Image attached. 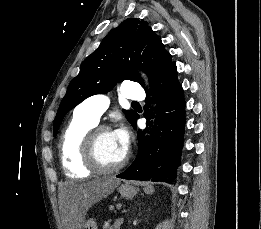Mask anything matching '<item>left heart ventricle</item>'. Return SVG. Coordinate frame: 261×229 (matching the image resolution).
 <instances>
[{
    "label": "left heart ventricle",
    "instance_id": "b2bd125f",
    "mask_svg": "<svg viewBox=\"0 0 261 229\" xmlns=\"http://www.w3.org/2000/svg\"><path fill=\"white\" fill-rule=\"evenodd\" d=\"M98 153L101 160L107 165H115L119 163L125 156L122 153L112 131L104 133L100 137Z\"/></svg>",
    "mask_w": 261,
    "mask_h": 229
}]
</instances>
